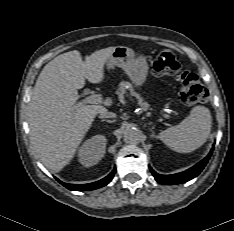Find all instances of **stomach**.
<instances>
[{"instance_id": "1", "label": "stomach", "mask_w": 234, "mask_h": 231, "mask_svg": "<svg viewBox=\"0 0 234 231\" xmlns=\"http://www.w3.org/2000/svg\"><path fill=\"white\" fill-rule=\"evenodd\" d=\"M108 69L122 68L136 88L141 87L148 75V63L143 56H135L131 48L117 46L106 62Z\"/></svg>"}]
</instances>
